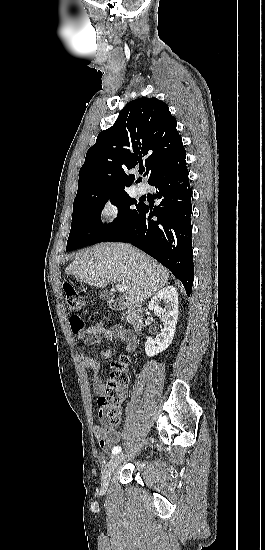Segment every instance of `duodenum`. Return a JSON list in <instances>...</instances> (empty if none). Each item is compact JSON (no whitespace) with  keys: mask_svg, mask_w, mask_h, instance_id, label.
<instances>
[{"mask_svg":"<svg viewBox=\"0 0 265 550\" xmlns=\"http://www.w3.org/2000/svg\"><path fill=\"white\" fill-rule=\"evenodd\" d=\"M110 307L114 311L126 312L130 325L135 334H139L143 329V308L139 304L127 303L120 298H112Z\"/></svg>","mask_w":265,"mask_h":550,"instance_id":"410a0bca","label":"duodenum"}]
</instances>
